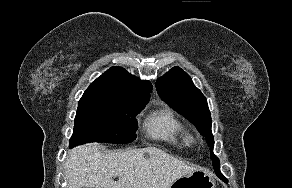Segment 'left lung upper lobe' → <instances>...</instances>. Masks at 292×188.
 <instances>
[{"mask_svg": "<svg viewBox=\"0 0 292 188\" xmlns=\"http://www.w3.org/2000/svg\"><path fill=\"white\" fill-rule=\"evenodd\" d=\"M156 88L163 100L178 113L188 118L206 137L211 149L213 167L220 169L219 159L213 154L212 121L207 101L201 91L195 87L190 76L181 68L174 67L157 80Z\"/></svg>", "mask_w": 292, "mask_h": 188, "instance_id": "obj_1", "label": "left lung upper lobe"}]
</instances>
